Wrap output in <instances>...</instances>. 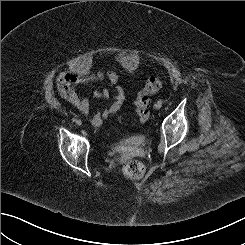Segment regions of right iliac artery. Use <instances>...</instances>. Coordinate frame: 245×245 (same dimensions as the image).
I'll return each instance as SVG.
<instances>
[{"label": "right iliac artery", "instance_id": "82829eb1", "mask_svg": "<svg viewBox=\"0 0 245 245\" xmlns=\"http://www.w3.org/2000/svg\"><path fill=\"white\" fill-rule=\"evenodd\" d=\"M72 120H73V122H76V121H77V119H76V118H73Z\"/></svg>", "mask_w": 245, "mask_h": 245}]
</instances>
